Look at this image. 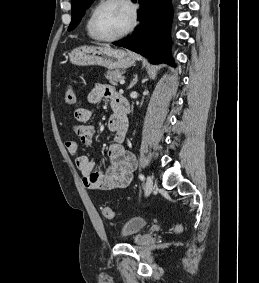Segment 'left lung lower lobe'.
<instances>
[{"label": "left lung lower lobe", "instance_id": "left-lung-lower-lobe-1", "mask_svg": "<svg viewBox=\"0 0 259 283\" xmlns=\"http://www.w3.org/2000/svg\"><path fill=\"white\" fill-rule=\"evenodd\" d=\"M136 1V0H134ZM140 25L126 39L115 42L150 59L152 63L167 62L170 57V26L173 11L170 0H138Z\"/></svg>", "mask_w": 259, "mask_h": 283}]
</instances>
